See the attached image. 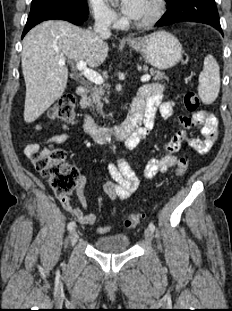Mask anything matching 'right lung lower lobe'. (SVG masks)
Returning <instances> with one entry per match:
<instances>
[{
	"instance_id": "1",
	"label": "right lung lower lobe",
	"mask_w": 232,
	"mask_h": 311,
	"mask_svg": "<svg viewBox=\"0 0 232 311\" xmlns=\"http://www.w3.org/2000/svg\"><path fill=\"white\" fill-rule=\"evenodd\" d=\"M87 17L88 14L79 12L77 9L70 7L49 5L34 8L30 11L22 38L32 27L45 20L61 19L76 25H81Z\"/></svg>"
}]
</instances>
